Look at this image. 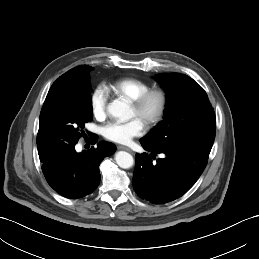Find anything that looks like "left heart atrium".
<instances>
[{"label": "left heart atrium", "instance_id": "1", "mask_svg": "<svg viewBox=\"0 0 259 259\" xmlns=\"http://www.w3.org/2000/svg\"><path fill=\"white\" fill-rule=\"evenodd\" d=\"M145 128L144 122L136 117L128 121H114L103 127L104 136L115 143L129 144L140 136Z\"/></svg>", "mask_w": 259, "mask_h": 259}]
</instances>
